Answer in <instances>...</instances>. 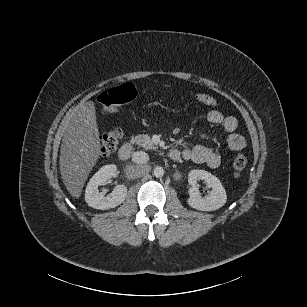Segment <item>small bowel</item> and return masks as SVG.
<instances>
[{"label":"small bowel","mask_w":307,"mask_h":307,"mask_svg":"<svg viewBox=\"0 0 307 307\" xmlns=\"http://www.w3.org/2000/svg\"><path fill=\"white\" fill-rule=\"evenodd\" d=\"M206 118L208 122L212 124L221 125L223 129L229 133L227 142L229 151H239L246 146L244 137L235 133L238 126L236 118L224 116L223 113L217 109L209 110ZM177 152L179 153L177 160L183 158L195 163L205 164L210 168H216L222 162V155L219 152L204 145H195L192 148H185L182 151L177 150Z\"/></svg>","instance_id":"c3829d8e"}]
</instances>
